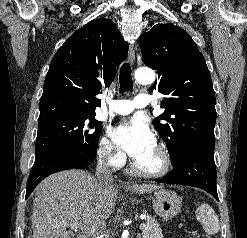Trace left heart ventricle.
I'll list each match as a JSON object with an SVG mask.
<instances>
[{"label": "left heart ventricle", "mask_w": 247, "mask_h": 238, "mask_svg": "<svg viewBox=\"0 0 247 238\" xmlns=\"http://www.w3.org/2000/svg\"><path fill=\"white\" fill-rule=\"evenodd\" d=\"M136 163L143 169L154 171L160 167L161 159L156 148L148 150L141 157L135 159Z\"/></svg>", "instance_id": "left-heart-ventricle-1"}]
</instances>
